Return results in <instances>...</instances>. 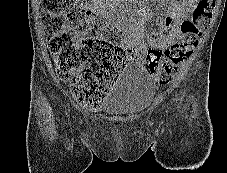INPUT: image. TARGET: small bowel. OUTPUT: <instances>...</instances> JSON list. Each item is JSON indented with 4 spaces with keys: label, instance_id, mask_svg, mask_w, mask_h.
Returning a JSON list of instances; mask_svg holds the SVG:
<instances>
[{
    "label": "small bowel",
    "instance_id": "small-bowel-1",
    "mask_svg": "<svg viewBox=\"0 0 227 173\" xmlns=\"http://www.w3.org/2000/svg\"><path fill=\"white\" fill-rule=\"evenodd\" d=\"M167 9L164 16L157 18L159 31L148 37L150 46L166 48L173 44L179 37V26L185 21L194 10L198 0H160ZM149 17V13L143 12L137 19L125 18L122 23L123 40L118 46L124 51L128 58L139 60L145 50L143 24ZM138 47L140 53L131 55L129 51L133 47Z\"/></svg>",
    "mask_w": 227,
    "mask_h": 173
}]
</instances>
